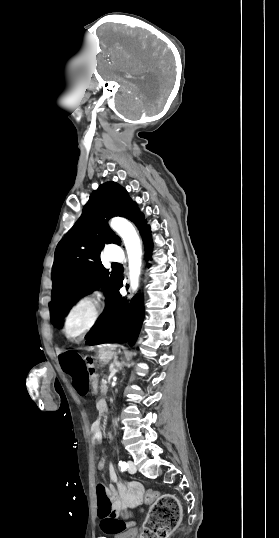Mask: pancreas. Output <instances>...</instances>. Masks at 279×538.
<instances>
[{
	"instance_id": "obj_1",
	"label": "pancreas",
	"mask_w": 279,
	"mask_h": 538,
	"mask_svg": "<svg viewBox=\"0 0 279 538\" xmlns=\"http://www.w3.org/2000/svg\"><path fill=\"white\" fill-rule=\"evenodd\" d=\"M108 387H109V381L107 379H104L103 381H101L100 391L102 393L108 392Z\"/></svg>"
}]
</instances>
